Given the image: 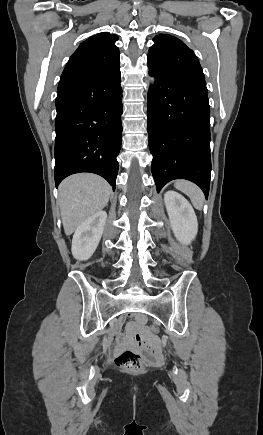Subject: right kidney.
Masks as SVG:
<instances>
[{
	"mask_svg": "<svg viewBox=\"0 0 263 435\" xmlns=\"http://www.w3.org/2000/svg\"><path fill=\"white\" fill-rule=\"evenodd\" d=\"M107 213L99 211L82 222L72 239V254L77 260H87L95 252L106 224Z\"/></svg>",
	"mask_w": 263,
	"mask_h": 435,
	"instance_id": "1",
	"label": "right kidney"
}]
</instances>
